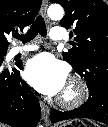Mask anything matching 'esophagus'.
<instances>
[{
	"instance_id": "34e87169",
	"label": "esophagus",
	"mask_w": 108,
	"mask_h": 127,
	"mask_svg": "<svg viewBox=\"0 0 108 127\" xmlns=\"http://www.w3.org/2000/svg\"><path fill=\"white\" fill-rule=\"evenodd\" d=\"M47 7H48V0H42L41 13L44 16V18L46 19V21L49 22L48 19H47V17H46ZM40 105H41L42 119L44 120V122L46 124H49L50 108H49L48 105H46L43 102H41Z\"/></svg>"
}]
</instances>
